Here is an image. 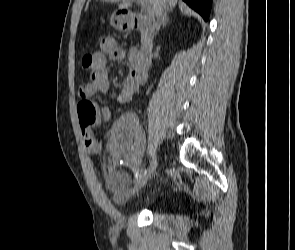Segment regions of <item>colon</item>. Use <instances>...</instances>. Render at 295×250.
<instances>
[{
	"label": "colon",
	"instance_id": "5ec220e1",
	"mask_svg": "<svg viewBox=\"0 0 295 250\" xmlns=\"http://www.w3.org/2000/svg\"><path fill=\"white\" fill-rule=\"evenodd\" d=\"M82 67L93 72L96 68L94 54L87 53L82 57ZM79 122L83 130H88L97 122V110L95 104L89 99H82L77 106Z\"/></svg>",
	"mask_w": 295,
	"mask_h": 250
}]
</instances>
